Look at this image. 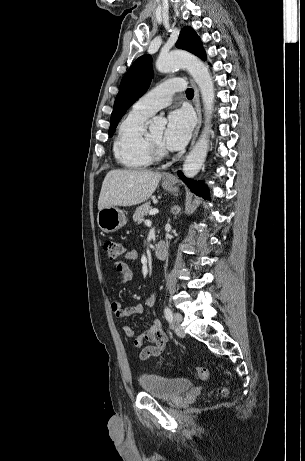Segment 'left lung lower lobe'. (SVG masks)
<instances>
[{
	"label": "left lung lower lobe",
	"instance_id": "obj_1",
	"mask_svg": "<svg viewBox=\"0 0 305 461\" xmlns=\"http://www.w3.org/2000/svg\"><path fill=\"white\" fill-rule=\"evenodd\" d=\"M178 176L188 185V187L195 192L197 195L203 197L204 199L208 198V190L207 187L201 182H195L186 178L182 172H178Z\"/></svg>",
	"mask_w": 305,
	"mask_h": 461
}]
</instances>
